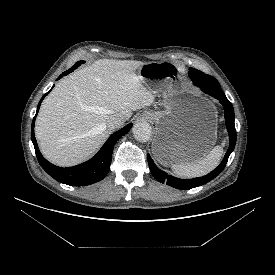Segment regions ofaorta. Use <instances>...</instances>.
<instances>
[{"label": "aorta", "mask_w": 275, "mask_h": 275, "mask_svg": "<svg viewBox=\"0 0 275 275\" xmlns=\"http://www.w3.org/2000/svg\"><path fill=\"white\" fill-rule=\"evenodd\" d=\"M133 135L140 142H146L151 137V126L147 122H138L133 126Z\"/></svg>", "instance_id": "762f6f07"}]
</instances>
